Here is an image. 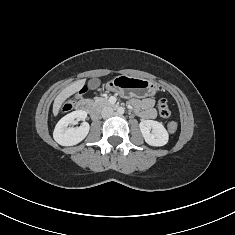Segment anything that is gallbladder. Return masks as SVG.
Segmentation results:
<instances>
[{"label":"gallbladder","instance_id":"obj_1","mask_svg":"<svg viewBox=\"0 0 235 235\" xmlns=\"http://www.w3.org/2000/svg\"><path fill=\"white\" fill-rule=\"evenodd\" d=\"M99 85H100V80L98 78L91 79L88 82L89 89H96L99 87Z\"/></svg>","mask_w":235,"mask_h":235}]
</instances>
